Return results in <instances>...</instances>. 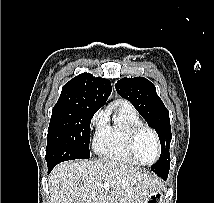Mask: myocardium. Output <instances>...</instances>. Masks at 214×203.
Wrapping results in <instances>:
<instances>
[{
	"mask_svg": "<svg viewBox=\"0 0 214 203\" xmlns=\"http://www.w3.org/2000/svg\"><path fill=\"white\" fill-rule=\"evenodd\" d=\"M145 131L149 132L153 136L155 144H156V150H157L155 160L150 163H147V162H144L143 160H141V158L139 157V155L137 153V149H136L138 138ZM128 149H129V152L132 155V157L138 163H140L142 165H146V166L155 164L161 156V144H160L158 134L156 133V131L154 129H152L151 127L146 126V125H140L131 131V133L129 135V139H128Z\"/></svg>",
	"mask_w": 214,
	"mask_h": 203,
	"instance_id": "obj_1",
	"label": "myocardium"
}]
</instances>
